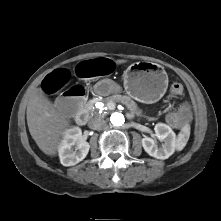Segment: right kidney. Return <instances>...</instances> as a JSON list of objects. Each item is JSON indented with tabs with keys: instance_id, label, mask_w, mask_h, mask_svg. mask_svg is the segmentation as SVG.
Listing matches in <instances>:
<instances>
[{
	"instance_id": "ca27d5eb",
	"label": "right kidney",
	"mask_w": 221,
	"mask_h": 221,
	"mask_svg": "<svg viewBox=\"0 0 221 221\" xmlns=\"http://www.w3.org/2000/svg\"><path fill=\"white\" fill-rule=\"evenodd\" d=\"M90 149L89 143L83 138L81 129L73 127L65 131L59 145V158L63 166H73L82 161Z\"/></svg>"
}]
</instances>
